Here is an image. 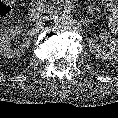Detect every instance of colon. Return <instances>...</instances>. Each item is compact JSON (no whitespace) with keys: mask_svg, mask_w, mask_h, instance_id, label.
Listing matches in <instances>:
<instances>
[{"mask_svg":"<svg viewBox=\"0 0 118 118\" xmlns=\"http://www.w3.org/2000/svg\"><path fill=\"white\" fill-rule=\"evenodd\" d=\"M13 0H0V22L5 21L11 14Z\"/></svg>","mask_w":118,"mask_h":118,"instance_id":"colon-1","label":"colon"}]
</instances>
